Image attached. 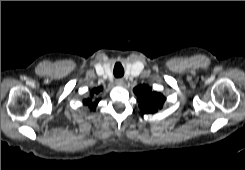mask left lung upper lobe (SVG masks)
<instances>
[{"instance_id": "1", "label": "left lung upper lobe", "mask_w": 245, "mask_h": 170, "mask_svg": "<svg viewBox=\"0 0 245 170\" xmlns=\"http://www.w3.org/2000/svg\"><path fill=\"white\" fill-rule=\"evenodd\" d=\"M134 93L140 103L142 113H155L165 102V97L161 93L152 92L147 85H140L134 88Z\"/></svg>"}]
</instances>
